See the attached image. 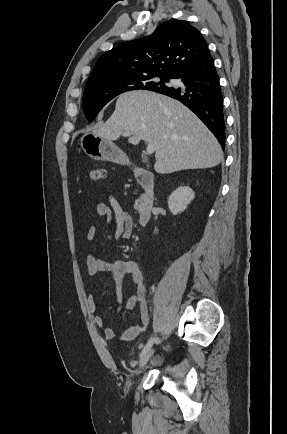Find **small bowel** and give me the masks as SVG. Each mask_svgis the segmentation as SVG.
I'll use <instances>...</instances> for the list:
<instances>
[{"label": "small bowel", "mask_w": 287, "mask_h": 434, "mask_svg": "<svg viewBox=\"0 0 287 434\" xmlns=\"http://www.w3.org/2000/svg\"><path fill=\"white\" fill-rule=\"evenodd\" d=\"M97 217L107 219L112 235L115 238L128 239L132 234L133 220L129 212L124 210L120 203L110 197L107 202L99 203L95 208ZM96 238V229L89 227L86 233V239L91 242ZM87 273L90 277L102 275L111 279L116 286H120L124 277L130 275L135 285L134 292L126 300L123 309L133 310L135 307L139 309V320L131 324L121 335L120 339L124 342L134 340L142 330L148 325L150 315L146 299V288L143 279L141 265L132 259L117 260L107 262L89 254L85 260ZM116 304H121V296L117 294ZM88 305L92 312H95L97 305L92 295L88 297ZM95 324L104 329V336L107 340H113L116 333L113 328L105 326V320L101 316H95Z\"/></svg>", "instance_id": "obj_1"}]
</instances>
